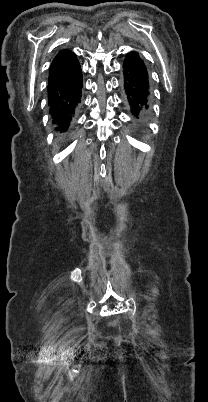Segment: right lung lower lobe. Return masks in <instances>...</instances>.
<instances>
[{"mask_svg": "<svg viewBox=\"0 0 208 402\" xmlns=\"http://www.w3.org/2000/svg\"><path fill=\"white\" fill-rule=\"evenodd\" d=\"M82 70L76 55L62 50L49 70L48 106L57 132H66L76 115L82 96Z\"/></svg>", "mask_w": 208, "mask_h": 402, "instance_id": "98d812e1", "label": "right lung lower lobe"}]
</instances>
